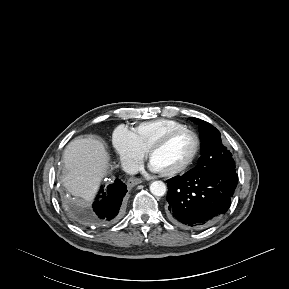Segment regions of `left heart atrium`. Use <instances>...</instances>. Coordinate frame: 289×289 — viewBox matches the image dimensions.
<instances>
[{
  "label": "left heart atrium",
  "instance_id": "left-heart-atrium-1",
  "mask_svg": "<svg viewBox=\"0 0 289 289\" xmlns=\"http://www.w3.org/2000/svg\"><path fill=\"white\" fill-rule=\"evenodd\" d=\"M150 169L154 172H158L152 165H150Z\"/></svg>",
  "mask_w": 289,
  "mask_h": 289
}]
</instances>
